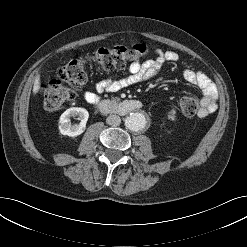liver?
<instances>
[{"label": "liver", "mask_w": 247, "mask_h": 247, "mask_svg": "<svg viewBox=\"0 0 247 247\" xmlns=\"http://www.w3.org/2000/svg\"><path fill=\"white\" fill-rule=\"evenodd\" d=\"M40 75H38L35 79L34 86H33V93L37 94L40 89Z\"/></svg>", "instance_id": "6515ba94"}]
</instances>
